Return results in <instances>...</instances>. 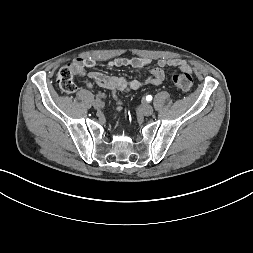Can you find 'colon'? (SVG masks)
Returning <instances> with one entry per match:
<instances>
[{
	"label": "colon",
	"instance_id": "5ec220e1",
	"mask_svg": "<svg viewBox=\"0 0 253 253\" xmlns=\"http://www.w3.org/2000/svg\"><path fill=\"white\" fill-rule=\"evenodd\" d=\"M76 74V69L72 65L63 66L57 73L56 80L59 87L68 93L74 92L76 90V85L74 82V76ZM173 84L181 89L188 90L193 85V77L187 71H182L176 73L172 77Z\"/></svg>",
	"mask_w": 253,
	"mask_h": 253
}]
</instances>
